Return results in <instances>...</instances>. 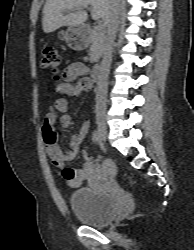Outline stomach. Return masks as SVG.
<instances>
[{"instance_id":"1","label":"stomach","mask_w":194,"mask_h":250,"mask_svg":"<svg viewBox=\"0 0 194 250\" xmlns=\"http://www.w3.org/2000/svg\"><path fill=\"white\" fill-rule=\"evenodd\" d=\"M58 38L68 43L75 50H82L87 46L85 28L83 25L68 27L58 33Z\"/></svg>"}]
</instances>
